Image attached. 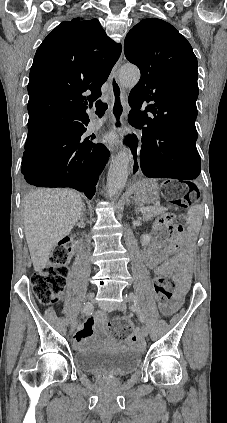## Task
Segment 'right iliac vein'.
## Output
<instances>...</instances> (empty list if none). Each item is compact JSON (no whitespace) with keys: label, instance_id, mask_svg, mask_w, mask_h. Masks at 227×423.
<instances>
[{"label":"right iliac vein","instance_id":"right-iliac-vein-1","mask_svg":"<svg viewBox=\"0 0 227 423\" xmlns=\"http://www.w3.org/2000/svg\"><path fill=\"white\" fill-rule=\"evenodd\" d=\"M94 296H95L94 292L89 293V294L87 295V300H88V301L93 300V299H94ZM76 327H77V320L75 319V320H73V322H72V324H71V330L74 332V331H75V329H76Z\"/></svg>","mask_w":227,"mask_h":423}]
</instances>
